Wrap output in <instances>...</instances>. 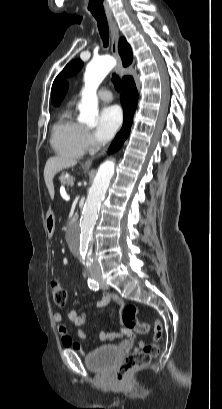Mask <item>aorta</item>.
I'll list each match as a JSON object with an SVG mask.
<instances>
[{"instance_id":"762f6f07","label":"aorta","mask_w":222,"mask_h":409,"mask_svg":"<svg viewBox=\"0 0 222 409\" xmlns=\"http://www.w3.org/2000/svg\"><path fill=\"white\" fill-rule=\"evenodd\" d=\"M114 65L115 60L112 57L102 56L91 61L86 67L85 88L82 91V100L79 105V120L89 126L95 125V118L98 115L97 88ZM114 170V161H105L100 165L89 190L80 222L72 232V246L83 261L88 258L98 210L114 175Z\"/></svg>"}]
</instances>
